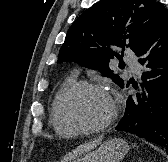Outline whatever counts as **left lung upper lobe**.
Listing matches in <instances>:
<instances>
[{
	"label": "left lung upper lobe",
	"instance_id": "left-lung-upper-lobe-1",
	"mask_svg": "<svg viewBox=\"0 0 168 162\" xmlns=\"http://www.w3.org/2000/svg\"><path fill=\"white\" fill-rule=\"evenodd\" d=\"M167 14L157 0H101L72 24L57 62L99 69L123 88L124 81L109 68L119 57L114 49L127 46L136 53Z\"/></svg>",
	"mask_w": 168,
	"mask_h": 162
}]
</instances>
